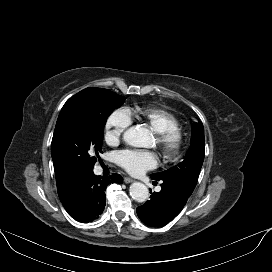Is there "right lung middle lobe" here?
<instances>
[{"label":"right lung middle lobe","mask_w":272,"mask_h":272,"mask_svg":"<svg viewBox=\"0 0 272 272\" xmlns=\"http://www.w3.org/2000/svg\"><path fill=\"white\" fill-rule=\"evenodd\" d=\"M124 101L123 96L102 88H86L72 96L57 119L52 159L64 163L72 177L92 172L102 153L107 117Z\"/></svg>","instance_id":"1"}]
</instances>
